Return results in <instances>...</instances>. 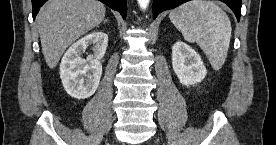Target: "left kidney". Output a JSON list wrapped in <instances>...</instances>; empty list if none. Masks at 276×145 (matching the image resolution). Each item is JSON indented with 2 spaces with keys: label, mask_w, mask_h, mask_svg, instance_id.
I'll return each instance as SVG.
<instances>
[{
  "label": "left kidney",
  "mask_w": 276,
  "mask_h": 145,
  "mask_svg": "<svg viewBox=\"0 0 276 145\" xmlns=\"http://www.w3.org/2000/svg\"><path fill=\"white\" fill-rule=\"evenodd\" d=\"M172 67L180 83L187 87L201 82L207 74L200 55L183 41L172 47Z\"/></svg>",
  "instance_id": "obj_1"
}]
</instances>
